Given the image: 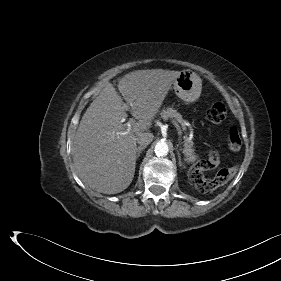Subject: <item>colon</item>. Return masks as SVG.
I'll return each mask as SVG.
<instances>
[{
  "mask_svg": "<svg viewBox=\"0 0 281 281\" xmlns=\"http://www.w3.org/2000/svg\"><path fill=\"white\" fill-rule=\"evenodd\" d=\"M227 114L223 103L213 104L207 111V119L212 123H221L225 120ZM227 144L231 150H238L242 145L241 137L235 128H230L227 135ZM219 164V154L213 150L208 157L200 161L190 174V182L202 192L209 193L217 187L226 183L237 171L236 167L221 169L213 179H206L202 175L203 170L215 168Z\"/></svg>",
  "mask_w": 281,
  "mask_h": 281,
  "instance_id": "1",
  "label": "colon"
}]
</instances>
